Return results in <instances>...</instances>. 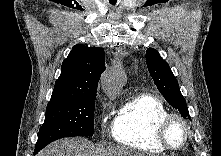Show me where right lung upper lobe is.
<instances>
[{"instance_id": "1", "label": "right lung upper lobe", "mask_w": 221, "mask_h": 156, "mask_svg": "<svg viewBox=\"0 0 221 156\" xmlns=\"http://www.w3.org/2000/svg\"><path fill=\"white\" fill-rule=\"evenodd\" d=\"M61 68L50 101L70 100L95 94L100 75L105 70L104 50L75 45Z\"/></svg>"}]
</instances>
